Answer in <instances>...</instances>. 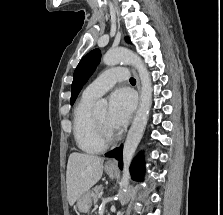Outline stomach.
Returning <instances> with one entry per match:
<instances>
[{"label":"stomach","mask_w":223,"mask_h":215,"mask_svg":"<svg viewBox=\"0 0 223 215\" xmlns=\"http://www.w3.org/2000/svg\"><path fill=\"white\" fill-rule=\"evenodd\" d=\"M106 173L110 175V177H114L117 167H109V165H105L104 167ZM90 198H89V193L86 191V193H82L80 197H78L77 201V207L79 211H88L89 207H91Z\"/></svg>","instance_id":"obj_1"}]
</instances>
